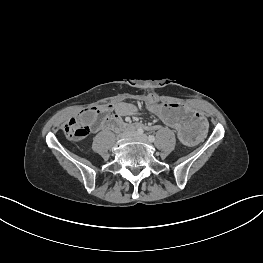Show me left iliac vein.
<instances>
[{
    "mask_svg": "<svg viewBox=\"0 0 263 263\" xmlns=\"http://www.w3.org/2000/svg\"><path fill=\"white\" fill-rule=\"evenodd\" d=\"M138 137L143 140H147V136L145 134H139Z\"/></svg>",
    "mask_w": 263,
    "mask_h": 263,
    "instance_id": "left-iliac-vein-1",
    "label": "left iliac vein"
}]
</instances>
